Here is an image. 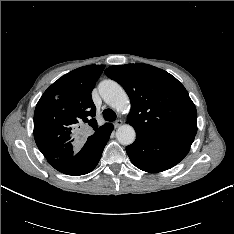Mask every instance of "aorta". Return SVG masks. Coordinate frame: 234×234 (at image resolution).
I'll list each match as a JSON object with an SVG mask.
<instances>
[{"label":"aorta","instance_id":"obj_1","mask_svg":"<svg viewBox=\"0 0 234 234\" xmlns=\"http://www.w3.org/2000/svg\"><path fill=\"white\" fill-rule=\"evenodd\" d=\"M99 93L103 100L112 108L123 112L130 107V101L125 90L115 81L105 80L99 84ZM116 138L122 145H131L136 138L134 128L129 124L120 126Z\"/></svg>","mask_w":234,"mask_h":234}]
</instances>
